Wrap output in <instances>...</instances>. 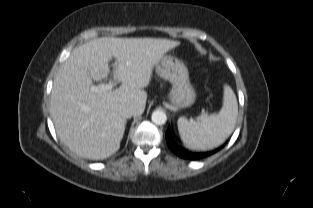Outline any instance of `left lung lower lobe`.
I'll list each match as a JSON object with an SVG mask.
<instances>
[{"mask_svg": "<svg viewBox=\"0 0 313 208\" xmlns=\"http://www.w3.org/2000/svg\"><path fill=\"white\" fill-rule=\"evenodd\" d=\"M166 141H167L168 147L176 155H178L181 158L190 159V160L201 159V158L207 157V156H209V155H211L217 151V150H215V151L206 152V153H191V152L181 150L180 148H177V146L175 144H173V142L169 139L168 131L166 132Z\"/></svg>", "mask_w": 313, "mask_h": 208, "instance_id": "1", "label": "left lung lower lobe"}]
</instances>
